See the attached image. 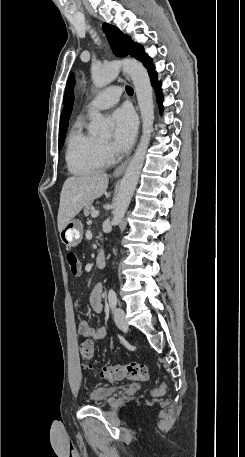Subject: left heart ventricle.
Returning <instances> with one entry per match:
<instances>
[{
	"label": "left heart ventricle",
	"instance_id": "b2bd125f",
	"mask_svg": "<svg viewBox=\"0 0 245 457\" xmlns=\"http://www.w3.org/2000/svg\"><path fill=\"white\" fill-rule=\"evenodd\" d=\"M108 140H109V139H103L102 141L106 143V142H108Z\"/></svg>",
	"mask_w": 245,
	"mask_h": 457
}]
</instances>
